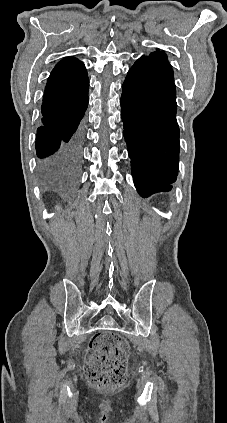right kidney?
<instances>
[{"instance_id":"1","label":"right kidney","mask_w":227,"mask_h":423,"mask_svg":"<svg viewBox=\"0 0 227 423\" xmlns=\"http://www.w3.org/2000/svg\"><path fill=\"white\" fill-rule=\"evenodd\" d=\"M57 210H60V206H56Z\"/></svg>"}]
</instances>
